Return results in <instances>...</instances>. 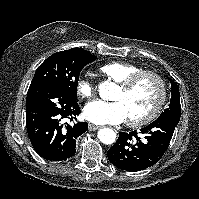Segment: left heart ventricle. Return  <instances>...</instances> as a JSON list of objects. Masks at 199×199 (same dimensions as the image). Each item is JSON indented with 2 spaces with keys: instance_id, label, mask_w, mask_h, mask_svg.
Segmentation results:
<instances>
[{
  "instance_id": "b2bd125f",
  "label": "left heart ventricle",
  "mask_w": 199,
  "mask_h": 199,
  "mask_svg": "<svg viewBox=\"0 0 199 199\" xmlns=\"http://www.w3.org/2000/svg\"><path fill=\"white\" fill-rule=\"evenodd\" d=\"M158 95L157 82L151 77H145L128 91H123L118 87L113 100L123 104L128 118H140L151 111Z\"/></svg>"
}]
</instances>
